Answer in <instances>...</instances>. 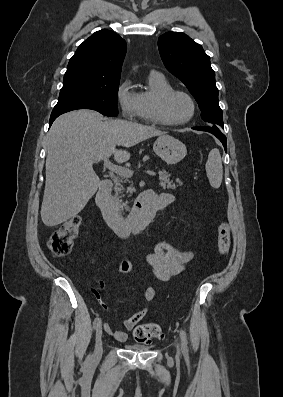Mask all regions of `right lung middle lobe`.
<instances>
[{
    "label": "right lung middle lobe",
    "mask_w": 283,
    "mask_h": 397,
    "mask_svg": "<svg viewBox=\"0 0 283 397\" xmlns=\"http://www.w3.org/2000/svg\"><path fill=\"white\" fill-rule=\"evenodd\" d=\"M120 78L106 79L78 73L64 75L58 108L92 109L105 116H117Z\"/></svg>",
    "instance_id": "right-lung-middle-lobe-1"
}]
</instances>
